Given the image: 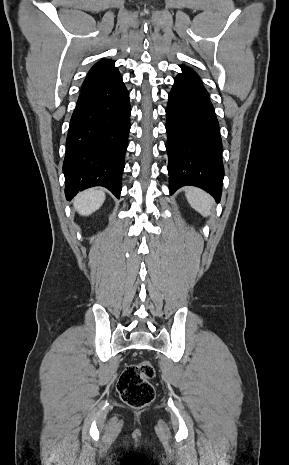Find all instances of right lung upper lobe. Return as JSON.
Listing matches in <instances>:
<instances>
[{
	"label": "right lung upper lobe",
	"instance_id": "cb5924a9",
	"mask_svg": "<svg viewBox=\"0 0 289 465\" xmlns=\"http://www.w3.org/2000/svg\"><path fill=\"white\" fill-rule=\"evenodd\" d=\"M120 77V73L114 66V62L103 59L90 69L83 82L81 91L107 86Z\"/></svg>",
	"mask_w": 289,
	"mask_h": 465
}]
</instances>
